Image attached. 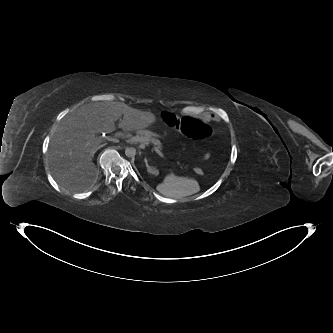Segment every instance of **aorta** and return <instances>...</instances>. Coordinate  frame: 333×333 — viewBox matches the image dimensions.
Here are the masks:
<instances>
[{"instance_id":"1","label":"aorta","mask_w":333,"mask_h":333,"mask_svg":"<svg viewBox=\"0 0 333 333\" xmlns=\"http://www.w3.org/2000/svg\"><path fill=\"white\" fill-rule=\"evenodd\" d=\"M125 155L129 158L134 157L136 155V149L133 147H127L125 149Z\"/></svg>"}]
</instances>
